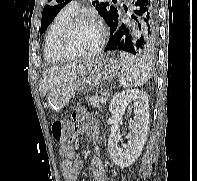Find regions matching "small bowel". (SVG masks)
<instances>
[{
  "label": "small bowel",
  "mask_w": 197,
  "mask_h": 181,
  "mask_svg": "<svg viewBox=\"0 0 197 181\" xmlns=\"http://www.w3.org/2000/svg\"><path fill=\"white\" fill-rule=\"evenodd\" d=\"M72 130L74 135L85 133L89 140H98V127L96 121L84 108H78L72 113ZM62 161V173L66 181H77L82 167L81 161L75 157V151L71 143H63L60 148ZM89 172L91 181H105L103 162L100 156L91 159Z\"/></svg>",
  "instance_id": "obj_1"
}]
</instances>
